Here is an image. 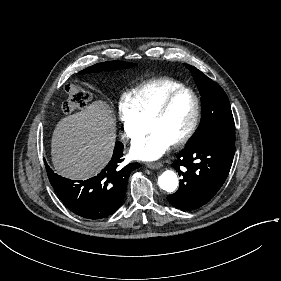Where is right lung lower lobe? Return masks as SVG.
<instances>
[{"label": "right lung lower lobe", "mask_w": 281, "mask_h": 281, "mask_svg": "<svg viewBox=\"0 0 281 281\" xmlns=\"http://www.w3.org/2000/svg\"><path fill=\"white\" fill-rule=\"evenodd\" d=\"M123 147L116 142L108 165L97 176L84 181L63 178L46 165L51 185L69 210L86 219H101L120 207L130 173L140 167L138 163L120 165Z\"/></svg>", "instance_id": "1"}]
</instances>
